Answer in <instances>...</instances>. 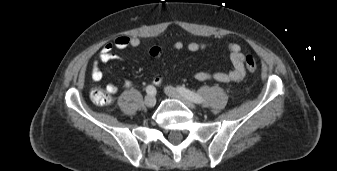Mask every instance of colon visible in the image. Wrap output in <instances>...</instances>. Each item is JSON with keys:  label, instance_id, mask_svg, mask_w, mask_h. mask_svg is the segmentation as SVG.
<instances>
[{"label": "colon", "instance_id": "obj_1", "mask_svg": "<svg viewBox=\"0 0 337 171\" xmlns=\"http://www.w3.org/2000/svg\"><path fill=\"white\" fill-rule=\"evenodd\" d=\"M245 66L248 71L253 72L257 69V62L252 55H248L245 58ZM91 100L100 106H105L111 103V96L103 90H94L91 92Z\"/></svg>", "mask_w": 337, "mask_h": 171}]
</instances>
